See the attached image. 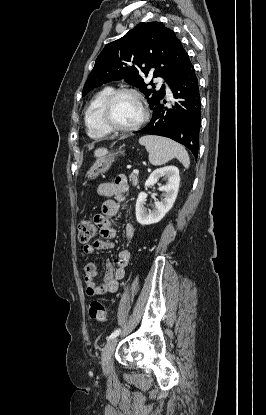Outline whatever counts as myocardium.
Here are the masks:
<instances>
[{"label": "myocardium", "mask_w": 266, "mask_h": 415, "mask_svg": "<svg viewBox=\"0 0 266 415\" xmlns=\"http://www.w3.org/2000/svg\"><path fill=\"white\" fill-rule=\"evenodd\" d=\"M122 94L133 95L138 100L141 110H142V116L140 120L134 125L128 126V127L118 126L117 124H115V122L112 119L113 104L115 100ZM148 118H149V111L144 102V99L142 95L136 89H133V88L123 87V88H118V89L113 90L111 94L107 97L102 108V120L105 126L111 132L128 133V132L136 131L147 122Z\"/></svg>", "instance_id": "f54148a6"}]
</instances>
